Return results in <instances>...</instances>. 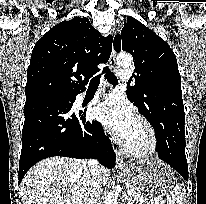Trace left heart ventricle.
Segmentation results:
<instances>
[{
  "label": "left heart ventricle",
  "mask_w": 206,
  "mask_h": 204,
  "mask_svg": "<svg viewBox=\"0 0 206 204\" xmlns=\"http://www.w3.org/2000/svg\"><path fill=\"white\" fill-rule=\"evenodd\" d=\"M132 148H142L147 142V135L143 126L137 121L132 133L125 140Z\"/></svg>",
  "instance_id": "obj_1"
}]
</instances>
